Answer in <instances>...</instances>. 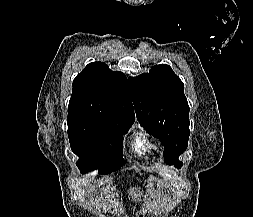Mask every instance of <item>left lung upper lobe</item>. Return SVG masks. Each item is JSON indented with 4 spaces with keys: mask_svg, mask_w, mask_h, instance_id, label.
<instances>
[{
    "mask_svg": "<svg viewBox=\"0 0 253 217\" xmlns=\"http://www.w3.org/2000/svg\"><path fill=\"white\" fill-rule=\"evenodd\" d=\"M130 86L140 124L165 145V161L180 168L178 157L186 150L190 135L183 82L169 65L160 64L131 77Z\"/></svg>",
    "mask_w": 253,
    "mask_h": 217,
    "instance_id": "1",
    "label": "left lung upper lobe"
}]
</instances>
